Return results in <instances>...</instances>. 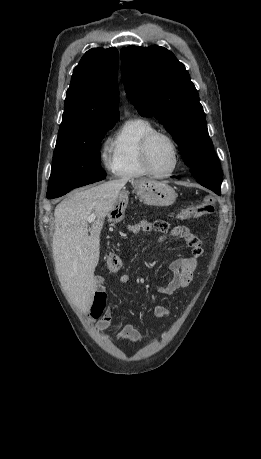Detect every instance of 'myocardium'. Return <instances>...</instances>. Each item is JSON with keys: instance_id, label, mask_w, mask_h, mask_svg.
<instances>
[{"instance_id": "obj_1", "label": "myocardium", "mask_w": 261, "mask_h": 459, "mask_svg": "<svg viewBox=\"0 0 261 459\" xmlns=\"http://www.w3.org/2000/svg\"><path fill=\"white\" fill-rule=\"evenodd\" d=\"M163 137L167 139L170 144L172 145L173 151H174V165L173 168L167 172V173H157L153 170L150 162V150L151 146L154 142L155 139ZM141 160L143 163L144 168L148 172L149 175L156 177V178H167L172 176L176 170L178 169L179 163H180V151H179V146L176 142V140L168 133L163 132V131H153L149 133L142 141L141 144Z\"/></svg>"}]
</instances>
